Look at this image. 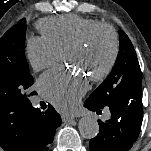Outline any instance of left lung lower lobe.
Masks as SVG:
<instances>
[{
    "mask_svg": "<svg viewBox=\"0 0 151 151\" xmlns=\"http://www.w3.org/2000/svg\"><path fill=\"white\" fill-rule=\"evenodd\" d=\"M84 105L101 113V109L88 100ZM108 107L111 118L105 122L98 121L100 131L90 140V151H129L139 136L142 124L141 86L131 87L118 103Z\"/></svg>",
    "mask_w": 151,
    "mask_h": 151,
    "instance_id": "left-lung-lower-lobe-1",
    "label": "left lung lower lobe"
}]
</instances>
